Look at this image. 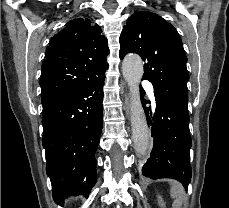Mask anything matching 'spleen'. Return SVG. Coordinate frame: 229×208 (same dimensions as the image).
I'll return each instance as SVG.
<instances>
[{"label": "spleen", "mask_w": 229, "mask_h": 208, "mask_svg": "<svg viewBox=\"0 0 229 208\" xmlns=\"http://www.w3.org/2000/svg\"><path fill=\"white\" fill-rule=\"evenodd\" d=\"M184 194L185 192L179 182H171L170 196L174 198L173 208H180L182 206L185 200Z\"/></svg>", "instance_id": "obj_1"}]
</instances>
